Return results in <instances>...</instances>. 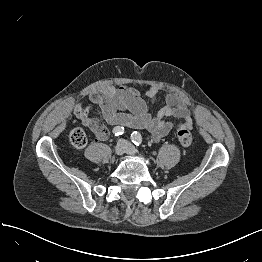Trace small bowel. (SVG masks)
Listing matches in <instances>:
<instances>
[{"label":"small bowel","mask_w":262,"mask_h":262,"mask_svg":"<svg viewBox=\"0 0 262 262\" xmlns=\"http://www.w3.org/2000/svg\"><path fill=\"white\" fill-rule=\"evenodd\" d=\"M148 100H145L137 89L130 86L113 87L105 85L89 96L91 104L102 110L104 120L115 127L146 128L154 141H160L173 128L185 124L193 126V113L189 108V101L179 93L167 96L166 105L157 113L151 111L156 102L159 90L154 86L145 89ZM91 105L76 103L73 117L87 126L96 139L106 141L109 131L97 118L90 115ZM175 117L179 122L168 121L166 118Z\"/></svg>","instance_id":"1"}]
</instances>
